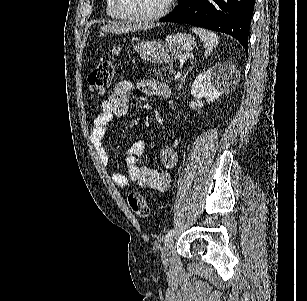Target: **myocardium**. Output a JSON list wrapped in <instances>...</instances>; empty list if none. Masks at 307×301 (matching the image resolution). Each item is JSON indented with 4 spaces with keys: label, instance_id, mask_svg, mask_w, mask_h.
<instances>
[{
    "label": "myocardium",
    "instance_id": "1",
    "mask_svg": "<svg viewBox=\"0 0 307 301\" xmlns=\"http://www.w3.org/2000/svg\"><path fill=\"white\" fill-rule=\"evenodd\" d=\"M174 0H164L160 11L120 10L123 0H111L112 14L118 17L119 22H152L155 18L165 17Z\"/></svg>",
    "mask_w": 307,
    "mask_h": 301
}]
</instances>
